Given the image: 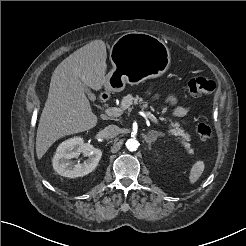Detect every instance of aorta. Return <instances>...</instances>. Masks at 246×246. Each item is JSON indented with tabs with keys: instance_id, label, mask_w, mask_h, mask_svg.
<instances>
[{
	"instance_id": "1",
	"label": "aorta",
	"mask_w": 246,
	"mask_h": 246,
	"mask_svg": "<svg viewBox=\"0 0 246 246\" xmlns=\"http://www.w3.org/2000/svg\"><path fill=\"white\" fill-rule=\"evenodd\" d=\"M125 145L129 151H136L139 147V142L135 138H130L126 141Z\"/></svg>"
}]
</instances>
